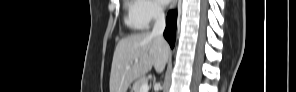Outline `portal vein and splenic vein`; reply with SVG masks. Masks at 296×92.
Segmentation results:
<instances>
[{"mask_svg": "<svg viewBox=\"0 0 296 92\" xmlns=\"http://www.w3.org/2000/svg\"><path fill=\"white\" fill-rule=\"evenodd\" d=\"M135 62H138V60H135ZM148 91H149V85L148 83H144L140 88V92H148Z\"/></svg>", "mask_w": 296, "mask_h": 92, "instance_id": "obj_1", "label": "portal vein and splenic vein"}]
</instances>
